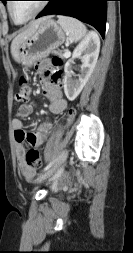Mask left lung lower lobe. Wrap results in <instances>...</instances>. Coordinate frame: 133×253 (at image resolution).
Segmentation results:
<instances>
[{
    "instance_id": "1",
    "label": "left lung lower lobe",
    "mask_w": 133,
    "mask_h": 253,
    "mask_svg": "<svg viewBox=\"0 0 133 253\" xmlns=\"http://www.w3.org/2000/svg\"><path fill=\"white\" fill-rule=\"evenodd\" d=\"M48 5L36 18L51 15H67L95 27L105 36L107 1L109 0H47Z\"/></svg>"
}]
</instances>
